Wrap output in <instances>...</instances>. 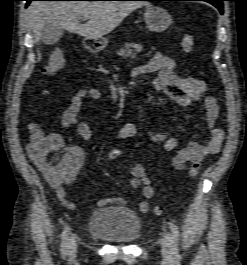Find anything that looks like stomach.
<instances>
[{
    "label": "stomach",
    "mask_w": 247,
    "mask_h": 265,
    "mask_svg": "<svg viewBox=\"0 0 247 265\" xmlns=\"http://www.w3.org/2000/svg\"><path fill=\"white\" fill-rule=\"evenodd\" d=\"M144 20L150 31L162 32L172 23L171 15L162 7L148 6L144 13ZM107 45V40L100 38L89 44V48L95 51L103 50Z\"/></svg>",
    "instance_id": "0dacf381"
}]
</instances>
